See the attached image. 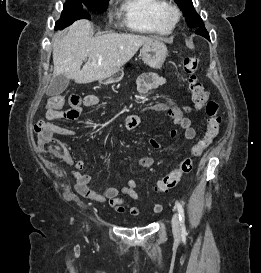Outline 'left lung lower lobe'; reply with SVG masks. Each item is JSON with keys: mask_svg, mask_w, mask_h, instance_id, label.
Masks as SVG:
<instances>
[{"mask_svg": "<svg viewBox=\"0 0 261 273\" xmlns=\"http://www.w3.org/2000/svg\"><path fill=\"white\" fill-rule=\"evenodd\" d=\"M196 33L204 36L206 39L209 40V34L204 26L197 28Z\"/></svg>", "mask_w": 261, "mask_h": 273, "instance_id": "left-lung-lower-lobe-1", "label": "left lung lower lobe"}]
</instances>
